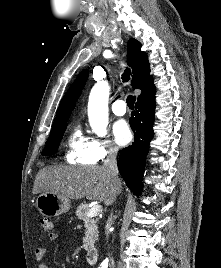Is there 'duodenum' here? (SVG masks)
Masks as SVG:
<instances>
[{
	"label": "duodenum",
	"mask_w": 221,
	"mask_h": 268,
	"mask_svg": "<svg viewBox=\"0 0 221 268\" xmlns=\"http://www.w3.org/2000/svg\"><path fill=\"white\" fill-rule=\"evenodd\" d=\"M98 258H99V252H98V249L93 247V248H90L87 252V262L90 264V265H94L97 263L98 261Z\"/></svg>",
	"instance_id": "duodenum-1"
}]
</instances>
